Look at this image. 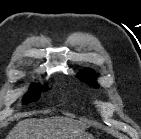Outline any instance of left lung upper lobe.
Segmentation results:
<instances>
[{
    "instance_id": "1",
    "label": "left lung upper lobe",
    "mask_w": 141,
    "mask_h": 139,
    "mask_svg": "<svg viewBox=\"0 0 141 139\" xmlns=\"http://www.w3.org/2000/svg\"><path fill=\"white\" fill-rule=\"evenodd\" d=\"M78 77H80L84 82H87L94 87H98L95 82V78L97 77V74L95 72L91 70L81 71Z\"/></svg>"
}]
</instances>
